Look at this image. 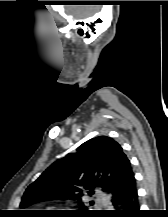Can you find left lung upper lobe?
Wrapping results in <instances>:
<instances>
[{
    "mask_svg": "<svg viewBox=\"0 0 168 217\" xmlns=\"http://www.w3.org/2000/svg\"><path fill=\"white\" fill-rule=\"evenodd\" d=\"M132 174L130 161L116 141L106 136L92 138L79 146L75 153L54 162L29 185L20 207L47 200L73 199L80 205L81 210L77 213L90 216L93 212L86 210L81 202L83 188L89 190V195L95 188L112 194Z\"/></svg>",
    "mask_w": 168,
    "mask_h": 217,
    "instance_id": "left-lung-upper-lobe-1",
    "label": "left lung upper lobe"
}]
</instances>
